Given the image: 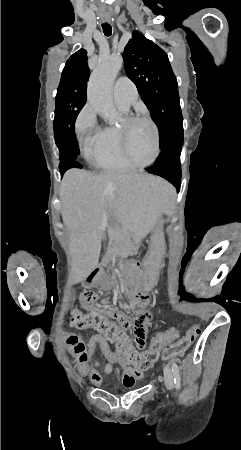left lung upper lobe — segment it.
Masks as SVG:
<instances>
[{"instance_id":"1","label":"left lung upper lobe","mask_w":241,"mask_h":450,"mask_svg":"<svg viewBox=\"0 0 241 450\" xmlns=\"http://www.w3.org/2000/svg\"><path fill=\"white\" fill-rule=\"evenodd\" d=\"M127 76L135 83L160 133V148L183 135L178 84L167 54L134 32L123 53Z\"/></svg>"}]
</instances>
